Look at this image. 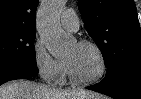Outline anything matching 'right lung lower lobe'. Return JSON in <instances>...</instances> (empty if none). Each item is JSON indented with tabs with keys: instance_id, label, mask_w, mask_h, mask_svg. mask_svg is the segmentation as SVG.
<instances>
[{
	"instance_id": "right-lung-lower-lobe-1",
	"label": "right lung lower lobe",
	"mask_w": 141,
	"mask_h": 99,
	"mask_svg": "<svg viewBox=\"0 0 141 99\" xmlns=\"http://www.w3.org/2000/svg\"><path fill=\"white\" fill-rule=\"evenodd\" d=\"M38 72L39 70L37 67H28L22 65L1 66L0 85L10 80L30 78L35 76Z\"/></svg>"
}]
</instances>
